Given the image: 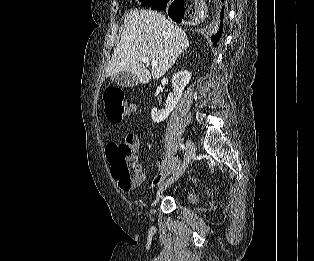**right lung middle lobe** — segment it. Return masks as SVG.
<instances>
[{"mask_svg":"<svg viewBox=\"0 0 314 261\" xmlns=\"http://www.w3.org/2000/svg\"><path fill=\"white\" fill-rule=\"evenodd\" d=\"M162 0H140L141 5L144 7L153 6L155 4L160 3Z\"/></svg>","mask_w":314,"mask_h":261,"instance_id":"1","label":"right lung middle lobe"}]
</instances>
